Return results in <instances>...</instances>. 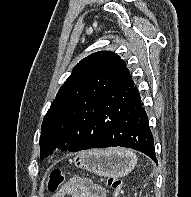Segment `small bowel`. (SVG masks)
<instances>
[{
	"mask_svg": "<svg viewBox=\"0 0 191 197\" xmlns=\"http://www.w3.org/2000/svg\"><path fill=\"white\" fill-rule=\"evenodd\" d=\"M51 197H105L102 187L86 180L69 181Z\"/></svg>",
	"mask_w": 191,
	"mask_h": 197,
	"instance_id": "obj_1",
	"label": "small bowel"
}]
</instances>
